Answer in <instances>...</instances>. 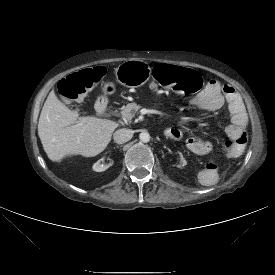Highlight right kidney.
I'll use <instances>...</instances> for the list:
<instances>
[{"instance_id":"right-kidney-1","label":"right kidney","mask_w":275,"mask_h":275,"mask_svg":"<svg viewBox=\"0 0 275 275\" xmlns=\"http://www.w3.org/2000/svg\"><path fill=\"white\" fill-rule=\"evenodd\" d=\"M98 160L94 165H93V170L96 172H102L107 170L109 167L112 166L113 161L111 158L106 157L104 154H101L98 157Z\"/></svg>"}]
</instances>
